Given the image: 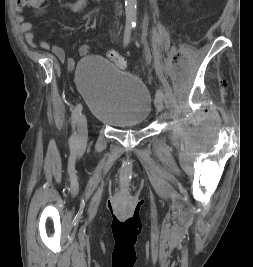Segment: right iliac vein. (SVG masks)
Here are the masks:
<instances>
[{"mask_svg":"<svg viewBox=\"0 0 253 267\" xmlns=\"http://www.w3.org/2000/svg\"><path fill=\"white\" fill-rule=\"evenodd\" d=\"M78 130V142L80 145H84L88 137L87 119L84 114L80 115L77 124Z\"/></svg>","mask_w":253,"mask_h":267,"instance_id":"1","label":"right iliac vein"}]
</instances>
